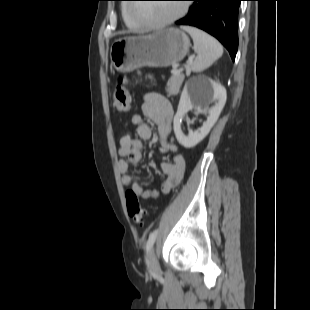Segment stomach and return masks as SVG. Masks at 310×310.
<instances>
[{"mask_svg": "<svg viewBox=\"0 0 310 310\" xmlns=\"http://www.w3.org/2000/svg\"><path fill=\"white\" fill-rule=\"evenodd\" d=\"M190 45L189 37L176 28L119 38L110 48L111 65L118 72H129L141 67H168L181 61Z\"/></svg>", "mask_w": 310, "mask_h": 310, "instance_id": "0dacf381", "label": "stomach"}]
</instances>
